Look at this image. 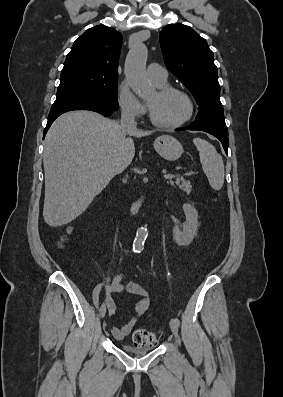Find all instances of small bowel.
Returning <instances> with one entry per match:
<instances>
[{"mask_svg":"<svg viewBox=\"0 0 283 397\" xmlns=\"http://www.w3.org/2000/svg\"><path fill=\"white\" fill-rule=\"evenodd\" d=\"M122 273L118 272L114 275L111 283L107 288L106 303L108 313L113 316L116 313V304L112 298V294L126 292L139 298L133 303V309L130 312L129 321L123 326H115L112 328V335L116 340H123L128 336L136 324L139 317H141L150 307L151 301L148 290L135 282H122Z\"/></svg>","mask_w":283,"mask_h":397,"instance_id":"small-bowel-1","label":"small bowel"}]
</instances>
